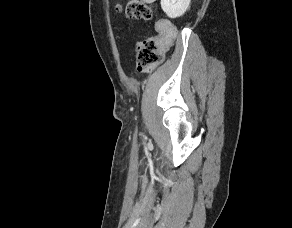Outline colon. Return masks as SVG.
<instances>
[{
	"mask_svg": "<svg viewBox=\"0 0 292 228\" xmlns=\"http://www.w3.org/2000/svg\"><path fill=\"white\" fill-rule=\"evenodd\" d=\"M119 11L124 10L129 18L139 20H150L152 17L151 8L139 2L131 0L123 5H118ZM157 35L149 37L135 46L136 65L140 72H150L163 61V54L172 43L175 31L167 23L156 25Z\"/></svg>",
	"mask_w": 292,
	"mask_h": 228,
	"instance_id": "1",
	"label": "colon"
}]
</instances>
